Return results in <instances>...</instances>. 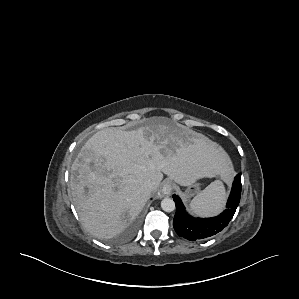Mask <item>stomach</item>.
Wrapping results in <instances>:
<instances>
[{
    "label": "stomach",
    "instance_id": "obj_1",
    "mask_svg": "<svg viewBox=\"0 0 299 299\" xmlns=\"http://www.w3.org/2000/svg\"><path fill=\"white\" fill-rule=\"evenodd\" d=\"M199 192V183H193L190 186H187V189L184 191L183 196L185 200H189L193 195Z\"/></svg>",
    "mask_w": 299,
    "mask_h": 299
}]
</instances>
